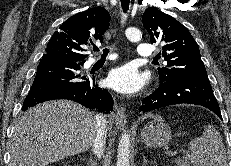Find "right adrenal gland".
Returning <instances> with one entry per match:
<instances>
[{
    "mask_svg": "<svg viewBox=\"0 0 231 166\" xmlns=\"http://www.w3.org/2000/svg\"><path fill=\"white\" fill-rule=\"evenodd\" d=\"M87 164H88L89 166H95V165H96V161H95L94 158L91 156V157H90V160L87 161Z\"/></svg>",
    "mask_w": 231,
    "mask_h": 166,
    "instance_id": "obj_1",
    "label": "right adrenal gland"
}]
</instances>
